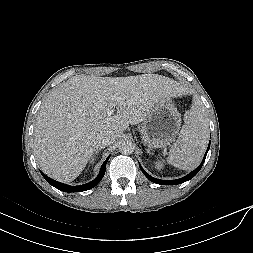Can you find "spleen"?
I'll return each mask as SVG.
<instances>
[{
  "mask_svg": "<svg viewBox=\"0 0 253 253\" xmlns=\"http://www.w3.org/2000/svg\"><path fill=\"white\" fill-rule=\"evenodd\" d=\"M208 139L207 120L196 104L184 115V125L171 147L167 162L182 170H192L199 165Z\"/></svg>",
  "mask_w": 253,
  "mask_h": 253,
  "instance_id": "3e777b00",
  "label": "spleen"
}]
</instances>
